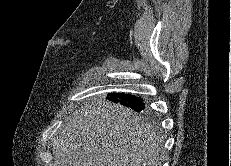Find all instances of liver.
<instances>
[{
	"mask_svg": "<svg viewBox=\"0 0 231 166\" xmlns=\"http://www.w3.org/2000/svg\"><path fill=\"white\" fill-rule=\"evenodd\" d=\"M163 139L133 110L89 101L54 137V166H159Z\"/></svg>",
	"mask_w": 231,
	"mask_h": 166,
	"instance_id": "liver-1",
	"label": "liver"
}]
</instances>
